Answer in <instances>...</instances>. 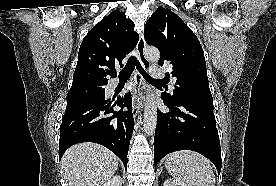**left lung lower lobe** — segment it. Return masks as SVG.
I'll list each match as a JSON object with an SVG mask.
<instances>
[{
	"mask_svg": "<svg viewBox=\"0 0 276 186\" xmlns=\"http://www.w3.org/2000/svg\"><path fill=\"white\" fill-rule=\"evenodd\" d=\"M168 113L158 111L154 137V163L168 153L196 151L221 171V147L216 129L213 101L174 104L161 94Z\"/></svg>",
	"mask_w": 276,
	"mask_h": 186,
	"instance_id": "1",
	"label": "left lung lower lobe"
}]
</instances>
